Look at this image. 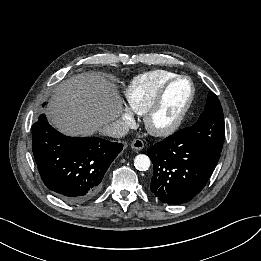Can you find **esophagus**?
Segmentation results:
<instances>
[{
    "instance_id": "34e87169",
    "label": "esophagus",
    "mask_w": 261,
    "mask_h": 261,
    "mask_svg": "<svg viewBox=\"0 0 261 261\" xmlns=\"http://www.w3.org/2000/svg\"><path fill=\"white\" fill-rule=\"evenodd\" d=\"M131 147L134 150H141L144 148V143L141 139H134L131 143Z\"/></svg>"
}]
</instances>
